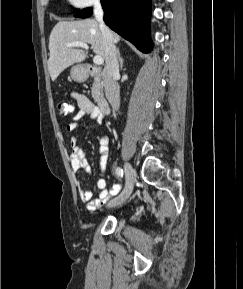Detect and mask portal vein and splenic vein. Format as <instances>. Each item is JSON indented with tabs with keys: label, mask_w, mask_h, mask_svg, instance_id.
I'll return each instance as SVG.
<instances>
[{
	"label": "portal vein and splenic vein",
	"mask_w": 243,
	"mask_h": 289,
	"mask_svg": "<svg viewBox=\"0 0 243 289\" xmlns=\"http://www.w3.org/2000/svg\"><path fill=\"white\" fill-rule=\"evenodd\" d=\"M68 47H81V48H84L85 50H88L89 47L87 45V43H84V42H81V41H74V42H69L66 44ZM93 62L94 64L96 65H102L103 62H104V59L102 56H95L93 58Z\"/></svg>",
	"instance_id": "portal-vein-and-splenic-vein-1"
}]
</instances>
